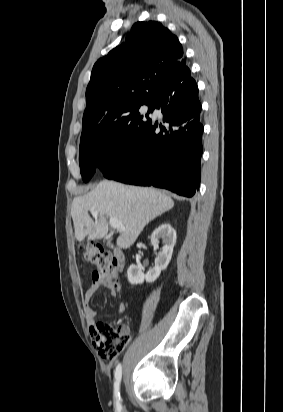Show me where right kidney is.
<instances>
[{
  "instance_id": "obj_1",
  "label": "right kidney",
  "mask_w": 283,
  "mask_h": 412,
  "mask_svg": "<svg viewBox=\"0 0 283 412\" xmlns=\"http://www.w3.org/2000/svg\"><path fill=\"white\" fill-rule=\"evenodd\" d=\"M162 239L164 244L155 258V266L144 274L141 268L135 264L130 265L127 271L128 281L134 284H142L144 281L148 283L154 282L161 274V271L166 269L173 254V248L176 243V231L170 224L160 225L151 235V245L154 251L159 248V240Z\"/></svg>"
}]
</instances>
